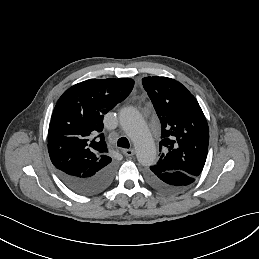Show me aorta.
Segmentation results:
<instances>
[{"label":"aorta","instance_id":"aorta-1","mask_svg":"<svg viewBox=\"0 0 259 259\" xmlns=\"http://www.w3.org/2000/svg\"><path fill=\"white\" fill-rule=\"evenodd\" d=\"M119 120L134 143L139 163L143 166L153 165L157 160L156 146L140 113L133 107L123 108Z\"/></svg>","mask_w":259,"mask_h":259}]
</instances>
